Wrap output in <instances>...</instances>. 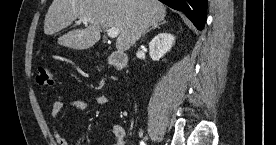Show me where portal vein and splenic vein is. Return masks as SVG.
Listing matches in <instances>:
<instances>
[{"label": "portal vein and splenic vein", "instance_id": "18ae733b", "mask_svg": "<svg viewBox=\"0 0 276 145\" xmlns=\"http://www.w3.org/2000/svg\"><path fill=\"white\" fill-rule=\"evenodd\" d=\"M79 20L86 24L90 21V18L89 17H80ZM106 32H107L108 37H110L112 39L116 38L119 35V29L115 28V27H111V28L106 27Z\"/></svg>", "mask_w": 276, "mask_h": 145}]
</instances>
